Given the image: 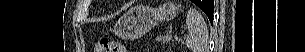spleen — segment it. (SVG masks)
Segmentation results:
<instances>
[{
	"label": "spleen",
	"instance_id": "obj_1",
	"mask_svg": "<svg viewBox=\"0 0 305 52\" xmlns=\"http://www.w3.org/2000/svg\"><path fill=\"white\" fill-rule=\"evenodd\" d=\"M186 24L188 35L185 45L192 52H208L209 33L202 15L195 9H189Z\"/></svg>",
	"mask_w": 305,
	"mask_h": 52
}]
</instances>
